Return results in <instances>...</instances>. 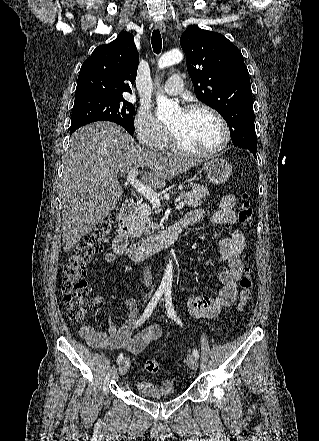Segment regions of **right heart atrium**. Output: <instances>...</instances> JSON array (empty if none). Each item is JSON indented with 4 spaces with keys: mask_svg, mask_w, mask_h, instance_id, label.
I'll return each instance as SVG.
<instances>
[{
    "mask_svg": "<svg viewBox=\"0 0 319 441\" xmlns=\"http://www.w3.org/2000/svg\"><path fill=\"white\" fill-rule=\"evenodd\" d=\"M134 129L140 145L153 151L163 150L168 143V132L147 107L139 109L134 119Z\"/></svg>",
    "mask_w": 319,
    "mask_h": 441,
    "instance_id": "1",
    "label": "right heart atrium"
}]
</instances>
